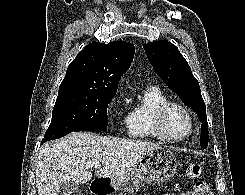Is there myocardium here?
Listing matches in <instances>:
<instances>
[{
  "instance_id": "1",
  "label": "myocardium",
  "mask_w": 245,
  "mask_h": 195,
  "mask_svg": "<svg viewBox=\"0 0 245 195\" xmlns=\"http://www.w3.org/2000/svg\"><path fill=\"white\" fill-rule=\"evenodd\" d=\"M171 108L180 109L187 116L189 120V131L183 137H172L165 130L164 118H165L166 113ZM152 124H153V128L155 132L157 133V135L161 139L168 141V142H182V141L187 140L193 134L194 128H195L194 118L190 110L184 105H182L181 103H178L175 101H167L159 105L153 112Z\"/></svg>"
}]
</instances>
